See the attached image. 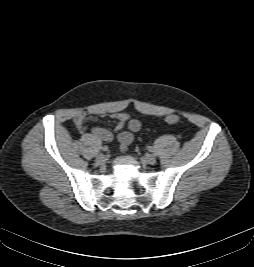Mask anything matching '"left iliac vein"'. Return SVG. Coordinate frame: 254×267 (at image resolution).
I'll return each instance as SVG.
<instances>
[{
    "label": "left iliac vein",
    "instance_id": "4c4485c4",
    "mask_svg": "<svg viewBox=\"0 0 254 267\" xmlns=\"http://www.w3.org/2000/svg\"><path fill=\"white\" fill-rule=\"evenodd\" d=\"M143 159L147 164H150V165H153L156 163V157L154 155H146Z\"/></svg>",
    "mask_w": 254,
    "mask_h": 267
}]
</instances>
